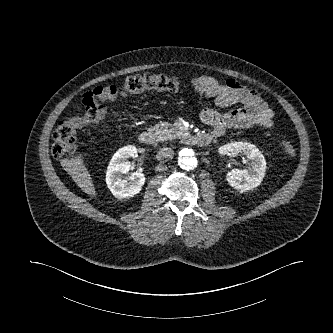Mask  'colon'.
Segmentation results:
<instances>
[{"label": "colon", "mask_w": 333, "mask_h": 333, "mask_svg": "<svg viewBox=\"0 0 333 333\" xmlns=\"http://www.w3.org/2000/svg\"><path fill=\"white\" fill-rule=\"evenodd\" d=\"M180 82L161 74H143L128 77L122 88L115 86H97L87 92L83 98L84 111L61 120L52 134V154L56 158L71 156L75 151L76 132L78 129L99 123L107 111V103L119 96L142 93L147 90L176 91ZM286 156L295 157L296 146L289 140L282 141Z\"/></svg>", "instance_id": "5ec220e1"}]
</instances>
